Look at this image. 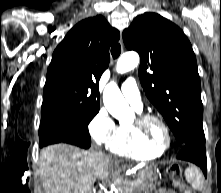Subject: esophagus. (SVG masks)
I'll return each instance as SVG.
<instances>
[{"instance_id": "1", "label": "esophagus", "mask_w": 221, "mask_h": 193, "mask_svg": "<svg viewBox=\"0 0 221 193\" xmlns=\"http://www.w3.org/2000/svg\"><path fill=\"white\" fill-rule=\"evenodd\" d=\"M120 44L123 45V39H122V34L120 36V40H119Z\"/></svg>"}]
</instances>
